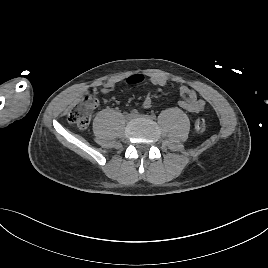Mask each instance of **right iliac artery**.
Wrapping results in <instances>:
<instances>
[{"label": "right iliac artery", "instance_id": "right-iliac-artery-1", "mask_svg": "<svg viewBox=\"0 0 268 268\" xmlns=\"http://www.w3.org/2000/svg\"><path fill=\"white\" fill-rule=\"evenodd\" d=\"M131 114L134 115V116H136V115L138 114V111H137L136 109H133V110L131 111Z\"/></svg>", "mask_w": 268, "mask_h": 268}]
</instances>
